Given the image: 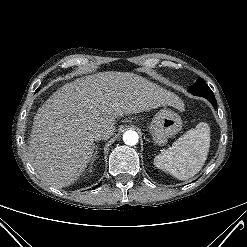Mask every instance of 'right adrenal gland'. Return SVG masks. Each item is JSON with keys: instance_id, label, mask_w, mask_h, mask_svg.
Wrapping results in <instances>:
<instances>
[{"instance_id": "obj_1", "label": "right adrenal gland", "mask_w": 247, "mask_h": 247, "mask_svg": "<svg viewBox=\"0 0 247 247\" xmlns=\"http://www.w3.org/2000/svg\"><path fill=\"white\" fill-rule=\"evenodd\" d=\"M97 150H98V147L96 146L95 152H94V156H93L92 161H91L90 170H91V168H92V164L94 163L95 159L97 158Z\"/></svg>"}]
</instances>
